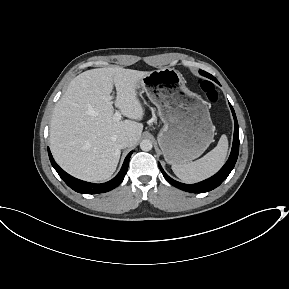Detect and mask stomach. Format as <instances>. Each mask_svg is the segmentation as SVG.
Instances as JSON below:
<instances>
[{
    "label": "stomach",
    "mask_w": 289,
    "mask_h": 289,
    "mask_svg": "<svg viewBox=\"0 0 289 289\" xmlns=\"http://www.w3.org/2000/svg\"><path fill=\"white\" fill-rule=\"evenodd\" d=\"M157 107L163 127L159 146L167 163L184 164L198 158L213 142L214 125L207 103L185 86L174 68L151 71L138 83Z\"/></svg>",
    "instance_id": "0dacf381"
}]
</instances>
